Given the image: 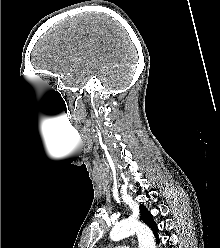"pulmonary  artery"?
<instances>
[{
  "instance_id": "1",
  "label": "pulmonary artery",
  "mask_w": 220,
  "mask_h": 248,
  "mask_svg": "<svg viewBox=\"0 0 220 248\" xmlns=\"http://www.w3.org/2000/svg\"><path fill=\"white\" fill-rule=\"evenodd\" d=\"M115 248H128L126 246H118V247H115Z\"/></svg>"
}]
</instances>
